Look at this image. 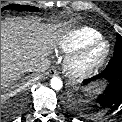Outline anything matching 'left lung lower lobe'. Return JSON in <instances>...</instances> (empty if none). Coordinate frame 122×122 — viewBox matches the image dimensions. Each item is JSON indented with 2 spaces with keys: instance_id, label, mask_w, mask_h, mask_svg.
<instances>
[{
  "instance_id": "left-lung-lower-lobe-1",
  "label": "left lung lower lobe",
  "mask_w": 122,
  "mask_h": 122,
  "mask_svg": "<svg viewBox=\"0 0 122 122\" xmlns=\"http://www.w3.org/2000/svg\"><path fill=\"white\" fill-rule=\"evenodd\" d=\"M96 80H107L108 82L103 94L96 99L99 104L98 109L109 110L119 106L122 102V55H115L102 73L83 83L87 85Z\"/></svg>"
}]
</instances>
